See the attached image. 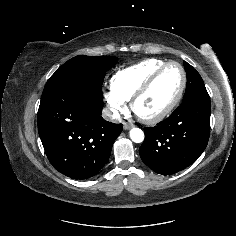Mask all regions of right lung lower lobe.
<instances>
[{
  "mask_svg": "<svg viewBox=\"0 0 236 236\" xmlns=\"http://www.w3.org/2000/svg\"><path fill=\"white\" fill-rule=\"evenodd\" d=\"M102 108L103 100L77 85L42 95L38 132L57 171L73 179H87L108 161L122 125L104 120Z\"/></svg>",
  "mask_w": 236,
  "mask_h": 236,
  "instance_id": "obj_1",
  "label": "right lung lower lobe"
}]
</instances>
